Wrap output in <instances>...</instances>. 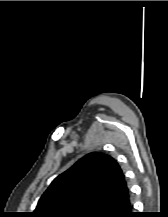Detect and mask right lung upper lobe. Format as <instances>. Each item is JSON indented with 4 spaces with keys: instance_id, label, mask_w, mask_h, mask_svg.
<instances>
[{
    "instance_id": "1",
    "label": "right lung upper lobe",
    "mask_w": 168,
    "mask_h": 217,
    "mask_svg": "<svg viewBox=\"0 0 168 217\" xmlns=\"http://www.w3.org/2000/svg\"><path fill=\"white\" fill-rule=\"evenodd\" d=\"M130 198L124 174L110 156L93 152L56 177L32 217H104Z\"/></svg>"
}]
</instances>
